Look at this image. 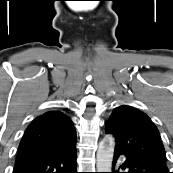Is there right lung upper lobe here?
<instances>
[{"label":"right lung upper lobe","mask_w":173,"mask_h":173,"mask_svg":"<svg viewBox=\"0 0 173 173\" xmlns=\"http://www.w3.org/2000/svg\"><path fill=\"white\" fill-rule=\"evenodd\" d=\"M76 132L64 113L48 111L26 129L19 144L16 161L59 153L75 147Z\"/></svg>","instance_id":"right-lung-upper-lobe-1"}]
</instances>
